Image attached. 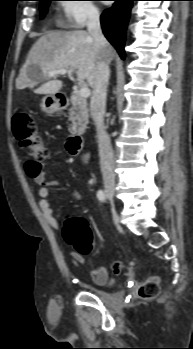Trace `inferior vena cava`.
<instances>
[{
    "label": "inferior vena cava",
    "mask_w": 193,
    "mask_h": 349,
    "mask_svg": "<svg viewBox=\"0 0 193 349\" xmlns=\"http://www.w3.org/2000/svg\"><path fill=\"white\" fill-rule=\"evenodd\" d=\"M87 29L89 34L94 38L96 45L103 51L107 47L108 42L102 33L100 15L97 9H90L88 13ZM109 76V61L103 58L98 63L96 69L93 92L90 101V111L96 126L101 172L106 186L114 185L115 183L113 150L110 137L107 134L104 125Z\"/></svg>",
    "instance_id": "1"
}]
</instances>
